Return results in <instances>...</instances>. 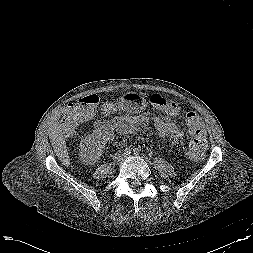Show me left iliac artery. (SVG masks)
<instances>
[{
    "mask_svg": "<svg viewBox=\"0 0 253 253\" xmlns=\"http://www.w3.org/2000/svg\"><path fill=\"white\" fill-rule=\"evenodd\" d=\"M133 153L138 155L140 153V151H139V149L136 148V149L133 150Z\"/></svg>",
    "mask_w": 253,
    "mask_h": 253,
    "instance_id": "left-iliac-artery-1",
    "label": "left iliac artery"
}]
</instances>
